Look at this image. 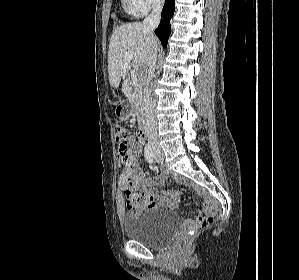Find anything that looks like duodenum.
<instances>
[{
	"label": "duodenum",
	"mask_w": 299,
	"mask_h": 280,
	"mask_svg": "<svg viewBox=\"0 0 299 280\" xmlns=\"http://www.w3.org/2000/svg\"><path fill=\"white\" fill-rule=\"evenodd\" d=\"M138 137L141 140L146 139V137H147V125H146V123H142L140 125L139 130H138Z\"/></svg>",
	"instance_id": "duodenum-1"
}]
</instances>
